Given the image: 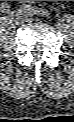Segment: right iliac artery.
<instances>
[{
	"instance_id": "right-iliac-artery-1",
	"label": "right iliac artery",
	"mask_w": 74,
	"mask_h": 122,
	"mask_svg": "<svg viewBox=\"0 0 74 122\" xmlns=\"http://www.w3.org/2000/svg\"><path fill=\"white\" fill-rule=\"evenodd\" d=\"M1 10H2L3 12L9 11V5H8L7 3H2V4H1Z\"/></svg>"
}]
</instances>
